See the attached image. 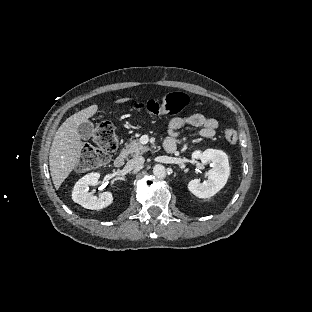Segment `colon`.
<instances>
[{
	"mask_svg": "<svg viewBox=\"0 0 312 312\" xmlns=\"http://www.w3.org/2000/svg\"><path fill=\"white\" fill-rule=\"evenodd\" d=\"M187 97L183 92L169 93L160 99L144 100L135 105L134 109L141 112H149L152 115L163 116L174 114L187 105ZM228 144L234 145L238 140L234 129L228 128L224 132ZM93 139L98 149H85L81 153V163L84 166L98 167L106 164L111 159V153L118 145L115 128L110 120L99 121L93 131Z\"/></svg>",
	"mask_w": 312,
	"mask_h": 312,
	"instance_id": "1",
	"label": "colon"
}]
</instances>
